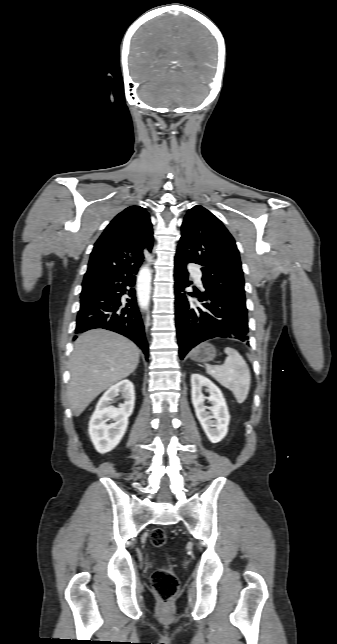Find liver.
<instances>
[{
	"label": "liver",
	"mask_w": 337,
	"mask_h": 644,
	"mask_svg": "<svg viewBox=\"0 0 337 644\" xmlns=\"http://www.w3.org/2000/svg\"><path fill=\"white\" fill-rule=\"evenodd\" d=\"M139 348L114 332L94 329L80 335L70 358L67 394L78 417L104 390L128 377L139 363Z\"/></svg>",
	"instance_id": "obj_1"
}]
</instances>
